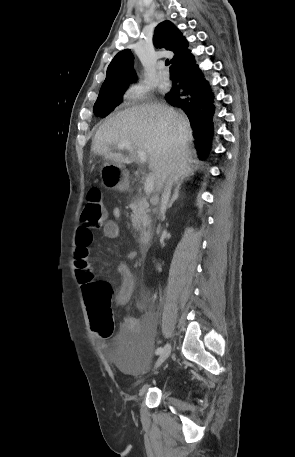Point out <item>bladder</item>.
<instances>
[{"instance_id":"31cf9c89","label":"bladder","mask_w":295,"mask_h":457,"mask_svg":"<svg viewBox=\"0 0 295 457\" xmlns=\"http://www.w3.org/2000/svg\"><path fill=\"white\" fill-rule=\"evenodd\" d=\"M116 364L130 374H137L145 365H155L157 352L154 338H115Z\"/></svg>"}]
</instances>
